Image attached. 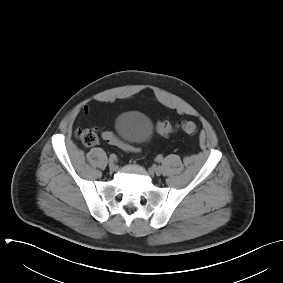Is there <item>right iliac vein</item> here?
Wrapping results in <instances>:
<instances>
[{"mask_svg": "<svg viewBox=\"0 0 283 283\" xmlns=\"http://www.w3.org/2000/svg\"><path fill=\"white\" fill-rule=\"evenodd\" d=\"M108 164H109L110 170H114L115 169L116 165H115V163L113 161L110 160Z\"/></svg>", "mask_w": 283, "mask_h": 283, "instance_id": "63e3f726", "label": "right iliac vein"}]
</instances>
